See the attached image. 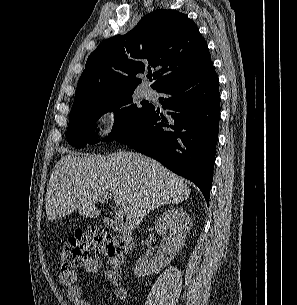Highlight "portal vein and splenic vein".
Returning a JSON list of instances; mask_svg holds the SVG:
<instances>
[{"label":"portal vein and splenic vein","instance_id":"1","mask_svg":"<svg viewBox=\"0 0 297 305\" xmlns=\"http://www.w3.org/2000/svg\"><path fill=\"white\" fill-rule=\"evenodd\" d=\"M99 197L103 198V199H111L112 198V195L109 194V193H102V194H99ZM115 216L120 219V218H123L125 216V212H124V209L123 208H117L115 210Z\"/></svg>","mask_w":297,"mask_h":305}]
</instances>
